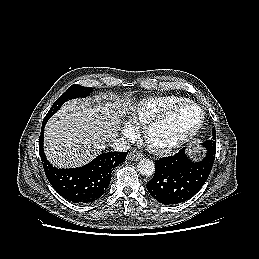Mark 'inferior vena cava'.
Listing matches in <instances>:
<instances>
[{
  "label": "inferior vena cava",
  "instance_id": "1",
  "mask_svg": "<svg viewBox=\"0 0 259 259\" xmlns=\"http://www.w3.org/2000/svg\"><path fill=\"white\" fill-rule=\"evenodd\" d=\"M113 149L117 152H125L130 148V143L125 137H120L113 140Z\"/></svg>",
  "mask_w": 259,
  "mask_h": 259
}]
</instances>
